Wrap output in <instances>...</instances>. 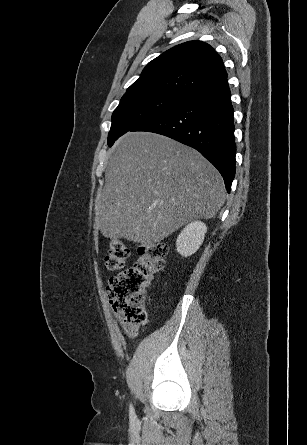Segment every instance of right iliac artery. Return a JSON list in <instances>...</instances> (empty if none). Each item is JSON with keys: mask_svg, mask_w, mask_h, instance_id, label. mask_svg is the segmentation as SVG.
Returning <instances> with one entry per match:
<instances>
[{"mask_svg": "<svg viewBox=\"0 0 307 445\" xmlns=\"http://www.w3.org/2000/svg\"><path fill=\"white\" fill-rule=\"evenodd\" d=\"M129 415H130L131 420L136 419L135 411H134V408L132 405H130V408H129Z\"/></svg>", "mask_w": 307, "mask_h": 445, "instance_id": "82829eb1", "label": "right iliac artery"}]
</instances>
